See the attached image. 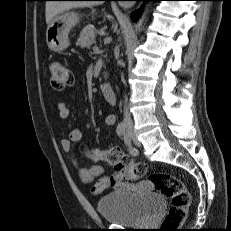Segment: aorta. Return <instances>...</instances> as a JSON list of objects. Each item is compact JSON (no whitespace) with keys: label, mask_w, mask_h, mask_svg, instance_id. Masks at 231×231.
Instances as JSON below:
<instances>
[{"label":"aorta","mask_w":231,"mask_h":231,"mask_svg":"<svg viewBox=\"0 0 231 231\" xmlns=\"http://www.w3.org/2000/svg\"><path fill=\"white\" fill-rule=\"evenodd\" d=\"M144 14L140 17V19L138 20V22L135 24V30L136 32H140V30L142 29V25L144 22Z\"/></svg>","instance_id":"762f6f07"}]
</instances>
